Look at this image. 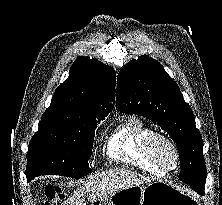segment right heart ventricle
<instances>
[{
    "label": "right heart ventricle",
    "instance_id": "obj_1",
    "mask_svg": "<svg viewBox=\"0 0 222 205\" xmlns=\"http://www.w3.org/2000/svg\"><path fill=\"white\" fill-rule=\"evenodd\" d=\"M154 131L137 119H130L113 134L109 143L112 159L130 164L156 176L165 172L157 167L148 154L147 142Z\"/></svg>",
    "mask_w": 222,
    "mask_h": 205
}]
</instances>
